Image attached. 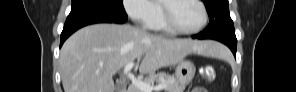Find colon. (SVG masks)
I'll return each mask as SVG.
<instances>
[{"mask_svg": "<svg viewBox=\"0 0 296 92\" xmlns=\"http://www.w3.org/2000/svg\"><path fill=\"white\" fill-rule=\"evenodd\" d=\"M215 70L213 67L208 66L204 69H202V76L207 79L211 80L214 77ZM207 90L204 88H196L193 90V92H206Z\"/></svg>", "mask_w": 296, "mask_h": 92, "instance_id": "5ec220e1", "label": "colon"}]
</instances>
